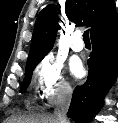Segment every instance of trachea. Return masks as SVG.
Masks as SVG:
<instances>
[{
    "label": "trachea",
    "mask_w": 118,
    "mask_h": 123,
    "mask_svg": "<svg viewBox=\"0 0 118 123\" xmlns=\"http://www.w3.org/2000/svg\"><path fill=\"white\" fill-rule=\"evenodd\" d=\"M83 40H84V42H90L89 29L86 30V31L83 33Z\"/></svg>",
    "instance_id": "3493384b"
}]
</instances>
